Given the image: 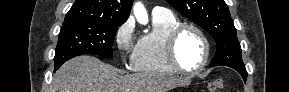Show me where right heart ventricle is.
I'll return each instance as SVG.
<instances>
[{
  "label": "right heart ventricle",
  "instance_id": "obj_1",
  "mask_svg": "<svg viewBox=\"0 0 289 92\" xmlns=\"http://www.w3.org/2000/svg\"><path fill=\"white\" fill-rule=\"evenodd\" d=\"M179 24V19L171 12L152 13V30L136 44L133 69L151 74H175L166 58L165 40L170 30Z\"/></svg>",
  "mask_w": 289,
  "mask_h": 92
}]
</instances>
